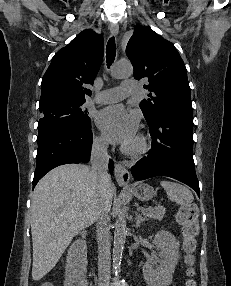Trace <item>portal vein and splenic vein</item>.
I'll list each match as a JSON object with an SVG mask.
<instances>
[{"label":"portal vein and splenic vein","mask_w":231,"mask_h":286,"mask_svg":"<svg viewBox=\"0 0 231 286\" xmlns=\"http://www.w3.org/2000/svg\"><path fill=\"white\" fill-rule=\"evenodd\" d=\"M158 208V207H157ZM156 209V208H155ZM138 211H141V212H147V211H152L153 209L150 208V209H147V208H144V207H138L137 208Z\"/></svg>","instance_id":"obj_1"}]
</instances>
